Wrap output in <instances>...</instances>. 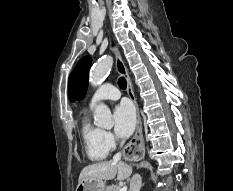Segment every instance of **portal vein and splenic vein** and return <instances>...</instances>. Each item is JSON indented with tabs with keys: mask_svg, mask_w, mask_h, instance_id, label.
Here are the masks:
<instances>
[{
	"mask_svg": "<svg viewBox=\"0 0 233 191\" xmlns=\"http://www.w3.org/2000/svg\"><path fill=\"white\" fill-rule=\"evenodd\" d=\"M120 191H127V186H124L123 188H121Z\"/></svg>",
	"mask_w": 233,
	"mask_h": 191,
	"instance_id": "1",
	"label": "portal vein and splenic vein"
}]
</instances>
